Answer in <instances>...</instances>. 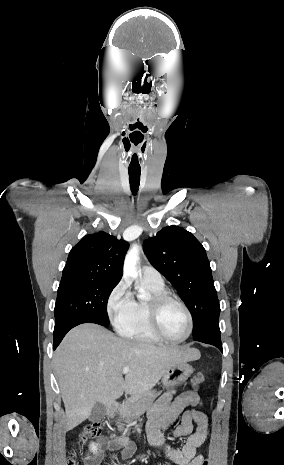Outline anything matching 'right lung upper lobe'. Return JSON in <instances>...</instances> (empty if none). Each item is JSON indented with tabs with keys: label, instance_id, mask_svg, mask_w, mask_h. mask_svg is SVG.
Here are the masks:
<instances>
[{
	"label": "right lung upper lobe",
	"instance_id": "right-lung-upper-lobe-1",
	"mask_svg": "<svg viewBox=\"0 0 284 465\" xmlns=\"http://www.w3.org/2000/svg\"><path fill=\"white\" fill-rule=\"evenodd\" d=\"M128 248L126 241L103 231L86 235L71 249L62 279L92 278L118 284Z\"/></svg>",
	"mask_w": 284,
	"mask_h": 465
}]
</instances>
